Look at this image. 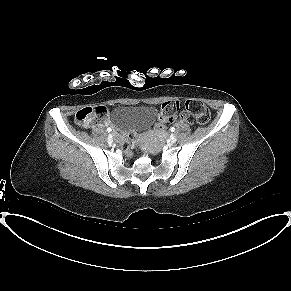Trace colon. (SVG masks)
Returning <instances> with one entry per match:
<instances>
[{
    "mask_svg": "<svg viewBox=\"0 0 291 291\" xmlns=\"http://www.w3.org/2000/svg\"><path fill=\"white\" fill-rule=\"evenodd\" d=\"M184 107L194 119L201 124H206L210 120V112L206 105L197 100H188L184 104L179 101H167L161 108V115L155 125L157 131H164L166 124L172 121ZM109 118V112L104 106H89L80 109L76 115V123L86 127L93 123H106ZM134 141V135H129L128 140L124 144L125 152H130L131 144Z\"/></svg>",
    "mask_w": 291,
    "mask_h": 291,
    "instance_id": "1",
    "label": "colon"
}]
</instances>
